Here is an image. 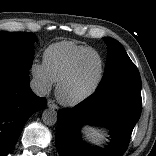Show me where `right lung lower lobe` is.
Masks as SVG:
<instances>
[{
    "mask_svg": "<svg viewBox=\"0 0 156 156\" xmlns=\"http://www.w3.org/2000/svg\"><path fill=\"white\" fill-rule=\"evenodd\" d=\"M47 104L30 89L28 70L0 64V156H7L28 118Z\"/></svg>",
    "mask_w": 156,
    "mask_h": 156,
    "instance_id": "98d812e1",
    "label": "right lung lower lobe"
}]
</instances>
